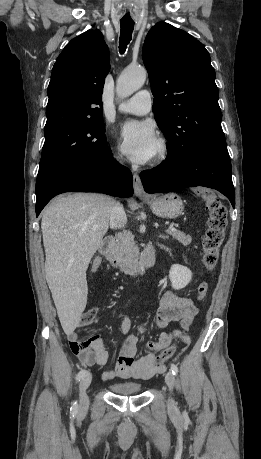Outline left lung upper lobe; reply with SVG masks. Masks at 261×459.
Listing matches in <instances>:
<instances>
[{
  "mask_svg": "<svg viewBox=\"0 0 261 459\" xmlns=\"http://www.w3.org/2000/svg\"><path fill=\"white\" fill-rule=\"evenodd\" d=\"M158 127L167 157L182 161L196 150L226 144L210 55L193 36L160 22L143 45Z\"/></svg>",
  "mask_w": 261,
  "mask_h": 459,
  "instance_id": "obj_1",
  "label": "left lung upper lobe"
}]
</instances>
